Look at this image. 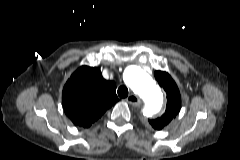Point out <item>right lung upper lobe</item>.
Here are the masks:
<instances>
[{
	"label": "right lung upper lobe",
	"instance_id": "cb5924a9",
	"mask_svg": "<svg viewBox=\"0 0 240 160\" xmlns=\"http://www.w3.org/2000/svg\"><path fill=\"white\" fill-rule=\"evenodd\" d=\"M118 101L116 84L102 77L96 67L82 66L66 82L62 92V104L70 120L89 127Z\"/></svg>",
	"mask_w": 240,
	"mask_h": 160
}]
</instances>
